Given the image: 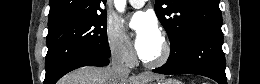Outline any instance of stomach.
<instances>
[{"mask_svg": "<svg viewBox=\"0 0 260 84\" xmlns=\"http://www.w3.org/2000/svg\"><path fill=\"white\" fill-rule=\"evenodd\" d=\"M154 84H182V83L175 79H160L157 80Z\"/></svg>", "mask_w": 260, "mask_h": 84, "instance_id": "1", "label": "stomach"}]
</instances>
